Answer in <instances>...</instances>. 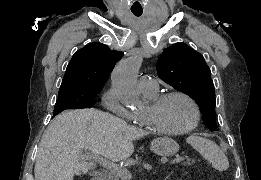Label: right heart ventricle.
Returning a JSON list of instances; mask_svg holds the SVG:
<instances>
[{
    "label": "right heart ventricle",
    "mask_w": 261,
    "mask_h": 180,
    "mask_svg": "<svg viewBox=\"0 0 261 180\" xmlns=\"http://www.w3.org/2000/svg\"><path fill=\"white\" fill-rule=\"evenodd\" d=\"M156 94H157L156 91H154V92H144L145 97H153Z\"/></svg>",
    "instance_id": "1"
}]
</instances>
